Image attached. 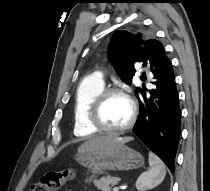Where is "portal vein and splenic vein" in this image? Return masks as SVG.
<instances>
[{
  "mask_svg": "<svg viewBox=\"0 0 210 191\" xmlns=\"http://www.w3.org/2000/svg\"><path fill=\"white\" fill-rule=\"evenodd\" d=\"M113 191H119V188L118 187H114Z\"/></svg>",
  "mask_w": 210,
  "mask_h": 191,
  "instance_id": "18ae733b",
  "label": "portal vein and splenic vein"
}]
</instances>
